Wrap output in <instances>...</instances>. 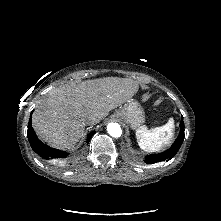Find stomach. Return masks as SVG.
Masks as SVG:
<instances>
[{
  "instance_id": "stomach-1",
  "label": "stomach",
  "mask_w": 221,
  "mask_h": 221,
  "mask_svg": "<svg viewBox=\"0 0 221 221\" xmlns=\"http://www.w3.org/2000/svg\"><path fill=\"white\" fill-rule=\"evenodd\" d=\"M114 117L122 122L130 124L132 129L138 128L145 121V114L137 101L130 100L121 106Z\"/></svg>"
}]
</instances>
